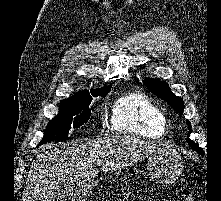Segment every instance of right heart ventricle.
<instances>
[{"label":"right heart ventricle","instance_id":"1","mask_svg":"<svg viewBox=\"0 0 221 201\" xmlns=\"http://www.w3.org/2000/svg\"><path fill=\"white\" fill-rule=\"evenodd\" d=\"M112 129L121 134L161 138L167 133V117L151 98L141 92L119 97L111 112Z\"/></svg>","mask_w":221,"mask_h":201}]
</instances>
